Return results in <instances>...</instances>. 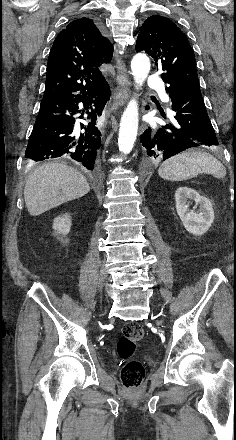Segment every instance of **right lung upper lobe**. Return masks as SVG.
Instances as JSON below:
<instances>
[{
    "instance_id": "cb5924a9",
    "label": "right lung upper lobe",
    "mask_w": 236,
    "mask_h": 440,
    "mask_svg": "<svg viewBox=\"0 0 236 440\" xmlns=\"http://www.w3.org/2000/svg\"><path fill=\"white\" fill-rule=\"evenodd\" d=\"M113 46L91 19L72 21L56 37L47 63L44 97L81 93L101 85L100 65Z\"/></svg>"
}]
</instances>
